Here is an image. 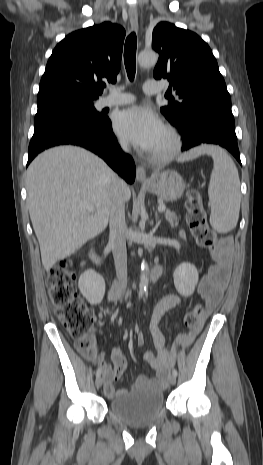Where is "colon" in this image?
I'll return each mask as SVG.
<instances>
[{
    "instance_id": "obj_1",
    "label": "colon",
    "mask_w": 263,
    "mask_h": 465,
    "mask_svg": "<svg viewBox=\"0 0 263 465\" xmlns=\"http://www.w3.org/2000/svg\"><path fill=\"white\" fill-rule=\"evenodd\" d=\"M187 222L201 247L212 254L218 252L216 234L209 228L202 200L197 191H191L186 202ZM48 293L58 319L75 341L76 348L86 357H95V340L92 334L94 316L76 289V275L68 261L54 266L47 276ZM204 317L203 306L198 304L184 317L185 326L198 329Z\"/></svg>"
}]
</instances>
